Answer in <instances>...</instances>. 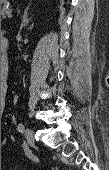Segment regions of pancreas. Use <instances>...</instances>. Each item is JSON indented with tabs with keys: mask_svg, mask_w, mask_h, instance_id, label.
Wrapping results in <instances>:
<instances>
[{
	"mask_svg": "<svg viewBox=\"0 0 109 170\" xmlns=\"http://www.w3.org/2000/svg\"><path fill=\"white\" fill-rule=\"evenodd\" d=\"M11 13V9H9L6 5H4L1 9V18L4 19Z\"/></svg>",
	"mask_w": 109,
	"mask_h": 170,
	"instance_id": "pancreas-1",
	"label": "pancreas"
}]
</instances>
